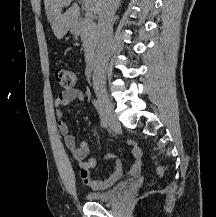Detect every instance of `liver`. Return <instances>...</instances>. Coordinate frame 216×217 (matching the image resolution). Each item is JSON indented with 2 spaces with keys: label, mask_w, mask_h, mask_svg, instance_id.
<instances>
[{
  "label": "liver",
  "mask_w": 216,
  "mask_h": 217,
  "mask_svg": "<svg viewBox=\"0 0 216 217\" xmlns=\"http://www.w3.org/2000/svg\"><path fill=\"white\" fill-rule=\"evenodd\" d=\"M85 9L98 14L103 0H81ZM47 19L57 39H62L69 29L75 26L80 15V8L74 3L65 13L64 6L70 5L69 0H44Z\"/></svg>",
  "instance_id": "obj_1"
}]
</instances>
